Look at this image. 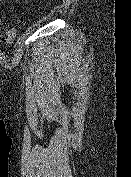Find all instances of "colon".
Segmentation results:
<instances>
[{
    "instance_id": "1",
    "label": "colon",
    "mask_w": 131,
    "mask_h": 177,
    "mask_svg": "<svg viewBox=\"0 0 131 177\" xmlns=\"http://www.w3.org/2000/svg\"><path fill=\"white\" fill-rule=\"evenodd\" d=\"M19 33V26H12L11 28H9L6 32V35L3 38V42L5 45H10L12 44Z\"/></svg>"
}]
</instances>
